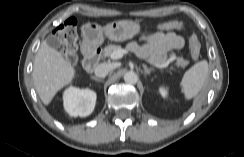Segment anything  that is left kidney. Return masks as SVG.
<instances>
[{
    "label": "left kidney",
    "instance_id": "5707ae66",
    "mask_svg": "<svg viewBox=\"0 0 244 157\" xmlns=\"http://www.w3.org/2000/svg\"><path fill=\"white\" fill-rule=\"evenodd\" d=\"M160 94L162 95V97H166L167 96V90L165 88H160L159 89Z\"/></svg>",
    "mask_w": 244,
    "mask_h": 157
}]
</instances>
